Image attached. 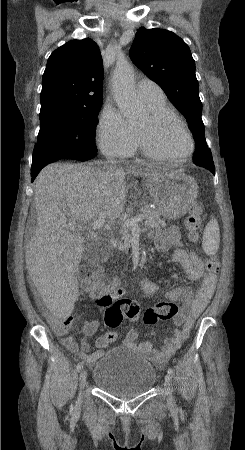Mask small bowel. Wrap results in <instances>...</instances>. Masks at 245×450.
<instances>
[{
	"label": "small bowel",
	"mask_w": 245,
	"mask_h": 450,
	"mask_svg": "<svg viewBox=\"0 0 245 450\" xmlns=\"http://www.w3.org/2000/svg\"><path fill=\"white\" fill-rule=\"evenodd\" d=\"M152 238L158 252H165L174 247L172 261L182 265L190 278L200 280V286L196 292H193L189 285H180L166 292V299L181 302L182 308L180 317L173 320V324L178 328L165 339L161 348H154L149 341H140V334L137 330L128 332L122 340L124 346L140 349L159 368H162L187 339L195 320L206 308L214 292L217 275L204 270L203 259L183 244L177 228L170 227L161 232H155ZM139 286L142 295L146 296L154 294L159 289V284L146 279L141 280ZM83 291L91 299L100 303L107 298L110 300L120 299L126 294V289L119 286L117 280L104 281V274L101 275L100 285L91 288L83 285ZM138 303L142 302L138 300ZM99 326L100 322L97 319L86 321L81 327V333L85 337L92 336L98 331ZM111 342L107 339L106 334L101 335L95 340L97 351L89 353L90 346L84 338L79 343L72 335L62 338L63 345L82 357L88 364H92L100 357Z\"/></svg>",
	"instance_id": "1"
}]
</instances>
